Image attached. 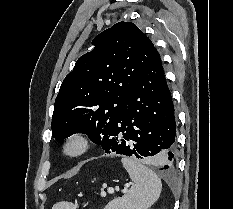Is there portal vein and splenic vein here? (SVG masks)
<instances>
[{"label":"portal vein and splenic vein","mask_w":233,"mask_h":209,"mask_svg":"<svg viewBox=\"0 0 233 209\" xmlns=\"http://www.w3.org/2000/svg\"><path fill=\"white\" fill-rule=\"evenodd\" d=\"M107 191H108L109 194H113V193H114V189H113V188H108ZM126 192H127V189L124 188L123 193H126ZM105 195H106L105 192H102V193H101V196L104 197Z\"/></svg>","instance_id":"1"}]
</instances>
